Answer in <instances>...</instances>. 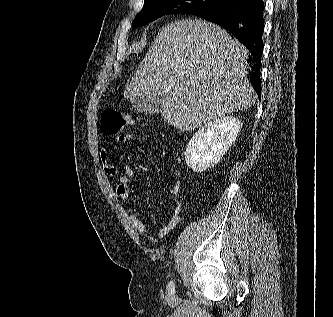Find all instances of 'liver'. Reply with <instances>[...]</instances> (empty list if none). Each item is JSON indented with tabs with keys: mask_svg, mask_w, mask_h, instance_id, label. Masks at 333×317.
<instances>
[{
	"mask_svg": "<svg viewBox=\"0 0 333 317\" xmlns=\"http://www.w3.org/2000/svg\"><path fill=\"white\" fill-rule=\"evenodd\" d=\"M246 53L215 24L200 19L171 22L159 31L124 97L159 96L166 123L180 131L194 130L255 104Z\"/></svg>",
	"mask_w": 333,
	"mask_h": 317,
	"instance_id": "obj_1",
	"label": "liver"
}]
</instances>
